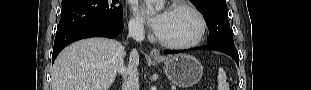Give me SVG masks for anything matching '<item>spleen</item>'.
<instances>
[{
  "label": "spleen",
  "mask_w": 311,
  "mask_h": 90,
  "mask_svg": "<svg viewBox=\"0 0 311 90\" xmlns=\"http://www.w3.org/2000/svg\"><path fill=\"white\" fill-rule=\"evenodd\" d=\"M217 80L218 90H229V84L226 82L227 76L223 68H219Z\"/></svg>",
  "instance_id": "1"
}]
</instances>
